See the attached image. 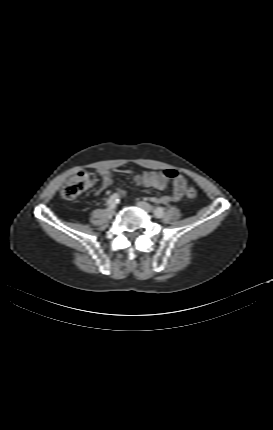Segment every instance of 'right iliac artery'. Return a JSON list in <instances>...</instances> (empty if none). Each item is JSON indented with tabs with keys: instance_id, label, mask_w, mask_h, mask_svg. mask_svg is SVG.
Returning <instances> with one entry per match:
<instances>
[{
	"instance_id": "82829eb1",
	"label": "right iliac artery",
	"mask_w": 273,
	"mask_h": 430,
	"mask_svg": "<svg viewBox=\"0 0 273 430\" xmlns=\"http://www.w3.org/2000/svg\"><path fill=\"white\" fill-rule=\"evenodd\" d=\"M118 202H119V195L117 193H114L107 200V205L110 208H115V206Z\"/></svg>"
}]
</instances>
